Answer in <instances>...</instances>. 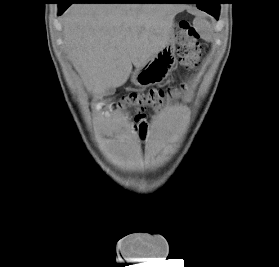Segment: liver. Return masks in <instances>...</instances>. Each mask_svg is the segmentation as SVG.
<instances>
[{
    "mask_svg": "<svg viewBox=\"0 0 279 267\" xmlns=\"http://www.w3.org/2000/svg\"><path fill=\"white\" fill-rule=\"evenodd\" d=\"M184 6L154 3L75 4L63 19L64 43L87 91L100 95L128 80L171 39Z\"/></svg>",
    "mask_w": 279,
    "mask_h": 267,
    "instance_id": "1",
    "label": "liver"
}]
</instances>
